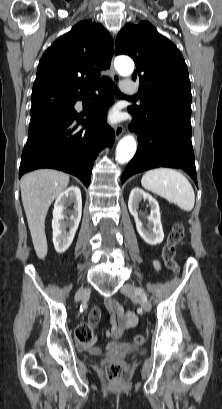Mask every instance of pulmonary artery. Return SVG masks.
Listing matches in <instances>:
<instances>
[{
    "label": "pulmonary artery",
    "mask_w": 222,
    "mask_h": 409,
    "mask_svg": "<svg viewBox=\"0 0 222 409\" xmlns=\"http://www.w3.org/2000/svg\"><path fill=\"white\" fill-rule=\"evenodd\" d=\"M121 88L124 94L132 95L137 93V87L135 84H121Z\"/></svg>",
    "instance_id": "obj_1"
}]
</instances>
